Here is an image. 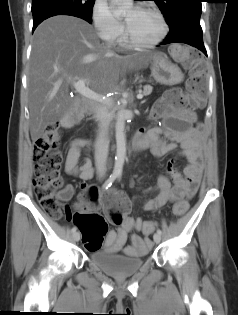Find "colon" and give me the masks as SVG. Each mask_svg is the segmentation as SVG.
Segmentation results:
<instances>
[{"label":"colon","mask_w":238,"mask_h":315,"mask_svg":"<svg viewBox=\"0 0 238 315\" xmlns=\"http://www.w3.org/2000/svg\"><path fill=\"white\" fill-rule=\"evenodd\" d=\"M173 58L189 67L192 75L188 90L171 89L154 106L153 117H160L170 108L189 107L200 108L205 102L206 71L201 54L191 48L181 45H173L170 48ZM61 132L57 123L46 126L44 132L35 141L33 158L35 162L36 178L34 180V194L40 206L53 215H68L75 226L82 233L84 246L88 250H97L101 247L108 225L106 219L96 212L95 208L101 201L97 188L81 186L83 189L84 208L81 211L71 213L70 207L57 197V192L63 186L60 173L62 154L60 151ZM106 213L110 221L120 225L129 213V205L121 194H111L105 200ZM188 209L186 201L174 204L172 214L175 217L182 216ZM156 227L153 221H146L142 231L145 235H151Z\"/></svg>","instance_id":"5ec220e1"}]
</instances>
